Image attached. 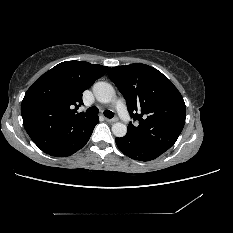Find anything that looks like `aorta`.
Here are the masks:
<instances>
[{
	"label": "aorta",
	"instance_id": "aorta-1",
	"mask_svg": "<svg viewBox=\"0 0 233 233\" xmlns=\"http://www.w3.org/2000/svg\"><path fill=\"white\" fill-rule=\"evenodd\" d=\"M93 93L101 103L111 102L115 95L112 85L106 82L95 83L93 85ZM112 132L116 137H124L127 133V126L121 122H116L112 125Z\"/></svg>",
	"mask_w": 233,
	"mask_h": 233
}]
</instances>
